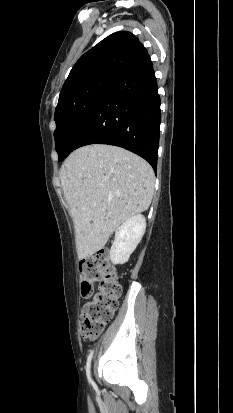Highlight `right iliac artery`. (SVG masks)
Here are the masks:
<instances>
[{
  "label": "right iliac artery",
  "mask_w": 233,
  "mask_h": 413,
  "mask_svg": "<svg viewBox=\"0 0 233 413\" xmlns=\"http://www.w3.org/2000/svg\"><path fill=\"white\" fill-rule=\"evenodd\" d=\"M93 356V350L90 352L88 358H87V363H86V375L88 378V381L90 384L94 385L93 380L91 379V374H90V365H91V360Z\"/></svg>",
  "instance_id": "82829eb1"
}]
</instances>
